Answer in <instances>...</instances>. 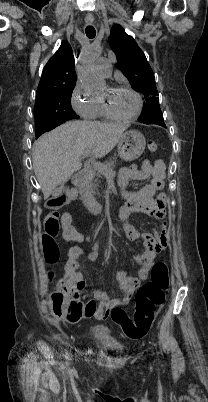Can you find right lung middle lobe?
<instances>
[{"label": "right lung middle lobe", "mask_w": 208, "mask_h": 402, "mask_svg": "<svg viewBox=\"0 0 208 402\" xmlns=\"http://www.w3.org/2000/svg\"><path fill=\"white\" fill-rule=\"evenodd\" d=\"M75 84L53 88L36 95L34 106L35 123L38 120L54 118L65 122L78 119L79 116L71 107V95ZM40 131L36 130V138Z\"/></svg>", "instance_id": "obj_1"}]
</instances>
